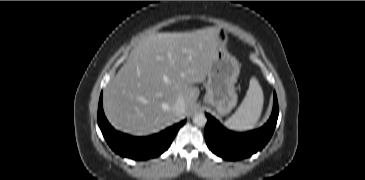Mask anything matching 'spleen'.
<instances>
[{
	"mask_svg": "<svg viewBox=\"0 0 365 180\" xmlns=\"http://www.w3.org/2000/svg\"><path fill=\"white\" fill-rule=\"evenodd\" d=\"M263 90L255 77L250 79L249 88L236 112L225 121V126L233 131L253 129L263 110Z\"/></svg>",
	"mask_w": 365,
	"mask_h": 180,
	"instance_id": "3e777b00",
	"label": "spleen"
}]
</instances>
